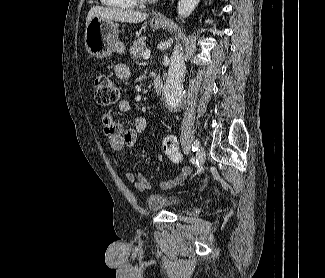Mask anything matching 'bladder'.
I'll list each match as a JSON object with an SVG mask.
<instances>
[{"label": "bladder", "instance_id": "31cf9c89", "mask_svg": "<svg viewBox=\"0 0 325 278\" xmlns=\"http://www.w3.org/2000/svg\"><path fill=\"white\" fill-rule=\"evenodd\" d=\"M147 205L152 211L176 209L184 204V200L170 193H153L146 199Z\"/></svg>", "mask_w": 325, "mask_h": 278}]
</instances>
